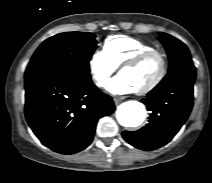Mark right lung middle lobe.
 <instances>
[{
  "mask_svg": "<svg viewBox=\"0 0 212 183\" xmlns=\"http://www.w3.org/2000/svg\"><path fill=\"white\" fill-rule=\"evenodd\" d=\"M95 35L66 32L45 40L35 51L26 71L67 70L89 73V61L95 51Z\"/></svg>",
  "mask_w": 212,
  "mask_h": 183,
  "instance_id": "1",
  "label": "right lung middle lobe"
}]
</instances>
